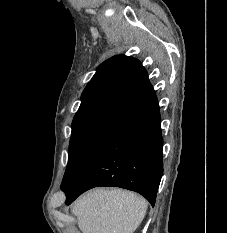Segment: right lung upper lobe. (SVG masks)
<instances>
[{"mask_svg":"<svg viewBox=\"0 0 227 233\" xmlns=\"http://www.w3.org/2000/svg\"><path fill=\"white\" fill-rule=\"evenodd\" d=\"M72 133L119 135L159 112L148 74L134 58L118 55L103 62L84 89Z\"/></svg>","mask_w":227,"mask_h":233,"instance_id":"cb5924a9","label":"right lung upper lobe"}]
</instances>
